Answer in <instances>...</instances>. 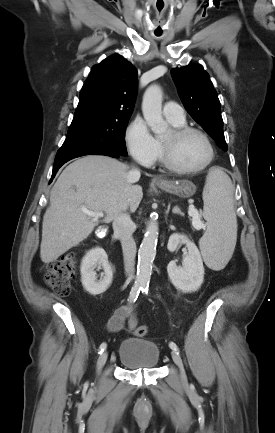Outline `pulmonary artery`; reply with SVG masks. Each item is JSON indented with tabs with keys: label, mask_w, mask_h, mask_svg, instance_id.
<instances>
[{
	"label": "pulmonary artery",
	"mask_w": 275,
	"mask_h": 433,
	"mask_svg": "<svg viewBox=\"0 0 275 433\" xmlns=\"http://www.w3.org/2000/svg\"><path fill=\"white\" fill-rule=\"evenodd\" d=\"M163 113L167 119L174 121L185 120V112L182 106L175 102H167L163 107Z\"/></svg>",
	"instance_id": "obj_1"
}]
</instances>
